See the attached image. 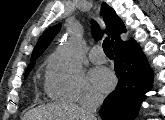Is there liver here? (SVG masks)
Segmentation results:
<instances>
[{
  "label": "liver",
  "instance_id": "1",
  "mask_svg": "<svg viewBox=\"0 0 165 120\" xmlns=\"http://www.w3.org/2000/svg\"><path fill=\"white\" fill-rule=\"evenodd\" d=\"M81 113L77 104L60 102L31 110L24 120H81Z\"/></svg>",
  "mask_w": 165,
  "mask_h": 120
}]
</instances>
